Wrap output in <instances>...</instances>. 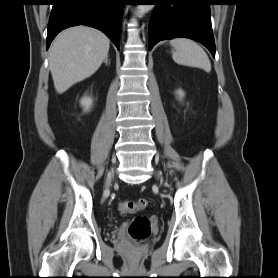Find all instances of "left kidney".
I'll list each match as a JSON object with an SVG mask.
<instances>
[{"instance_id":"5707ae66","label":"left kidney","mask_w":278,"mask_h":278,"mask_svg":"<svg viewBox=\"0 0 278 278\" xmlns=\"http://www.w3.org/2000/svg\"><path fill=\"white\" fill-rule=\"evenodd\" d=\"M177 94L180 97V99L184 96V92L182 90H178Z\"/></svg>"}]
</instances>
